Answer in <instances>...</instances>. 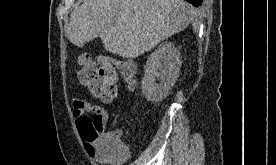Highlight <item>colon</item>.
<instances>
[{"mask_svg":"<svg viewBox=\"0 0 276 165\" xmlns=\"http://www.w3.org/2000/svg\"><path fill=\"white\" fill-rule=\"evenodd\" d=\"M78 78L86 87L89 94L105 102L112 101L117 95L119 76L132 87L135 83V69L127 60L118 59L109 55H102L94 60L89 54H81L78 58ZM78 128L84 143L88 146L103 142L106 148L121 155L117 140L103 131L100 124L88 116L82 117Z\"/></svg>","mask_w":276,"mask_h":165,"instance_id":"1","label":"colon"}]
</instances>
